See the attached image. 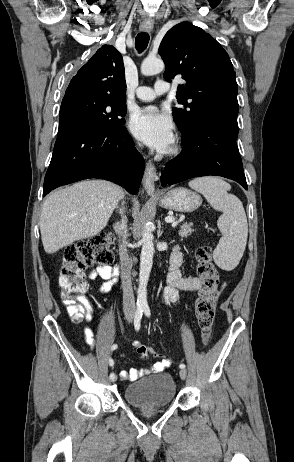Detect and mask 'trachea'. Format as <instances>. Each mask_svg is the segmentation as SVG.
Listing matches in <instances>:
<instances>
[{"label":"trachea","instance_id":"obj_1","mask_svg":"<svg viewBox=\"0 0 294 462\" xmlns=\"http://www.w3.org/2000/svg\"><path fill=\"white\" fill-rule=\"evenodd\" d=\"M149 39L150 37L148 33L145 32H141L136 36L135 46L139 53L143 52L147 48Z\"/></svg>","mask_w":294,"mask_h":462}]
</instances>
